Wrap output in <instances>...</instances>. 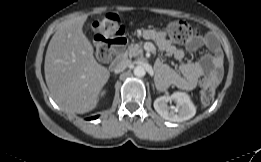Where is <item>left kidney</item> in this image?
Here are the masks:
<instances>
[{"label": "left kidney", "instance_id": "1", "mask_svg": "<svg viewBox=\"0 0 261 162\" xmlns=\"http://www.w3.org/2000/svg\"><path fill=\"white\" fill-rule=\"evenodd\" d=\"M174 101L176 106L169 107L168 102ZM154 109L165 120L183 122L191 119L196 107L185 92H175L171 96H161L154 101Z\"/></svg>", "mask_w": 261, "mask_h": 162}]
</instances>
